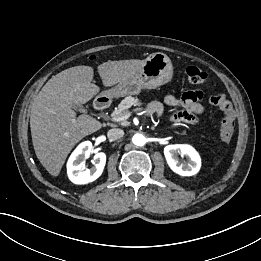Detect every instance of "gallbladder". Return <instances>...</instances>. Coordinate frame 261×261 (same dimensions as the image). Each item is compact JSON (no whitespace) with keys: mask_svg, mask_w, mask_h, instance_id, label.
<instances>
[{"mask_svg":"<svg viewBox=\"0 0 261 261\" xmlns=\"http://www.w3.org/2000/svg\"><path fill=\"white\" fill-rule=\"evenodd\" d=\"M72 108L79 112H86V109L82 105H79V104H73Z\"/></svg>","mask_w":261,"mask_h":261,"instance_id":"bac80fb5","label":"gallbladder"}]
</instances>
